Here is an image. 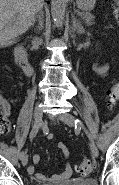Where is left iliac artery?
<instances>
[{
    "label": "left iliac artery",
    "mask_w": 119,
    "mask_h": 185,
    "mask_svg": "<svg viewBox=\"0 0 119 185\" xmlns=\"http://www.w3.org/2000/svg\"><path fill=\"white\" fill-rule=\"evenodd\" d=\"M75 128H79V129L83 128L86 131V133L88 134L89 138H91L90 134L85 129V127H84L83 123L81 122V120H79V119L75 120Z\"/></svg>",
    "instance_id": "1"
}]
</instances>
